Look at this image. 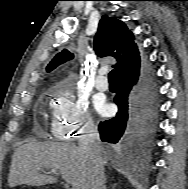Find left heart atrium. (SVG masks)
<instances>
[{
  "label": "left heart atrium",
  "instance_id": "39dd6f15",
  "mask_svg": "<svg viewBox=\"0 0 188 189\" xmlns=\"http://www.w3.org/2000/svg\"><path fill=\"white\" fill-rule=\"evenodd\" d=\"M96 108L102 115H108L110 112V107L105 104L103 101L98 100L96 102Z\"/></svg>",
  "mask_w": 188,
  "mask_h": 189
}]
</instances>
